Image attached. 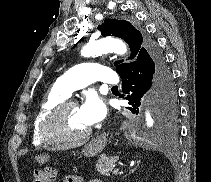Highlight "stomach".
I'll list each match as a JSON object with an SVG mask.
<instances>
[{
	"label": "stomach",
	"instance_id": "stomach-1",
	"mask_svg": "<svg viewBox=\"0 0 211 182\" xmlns=\"http://www.w3.org/2000/svg\"><path fill=\"white\" fill-rule=\"evenodd\" d=\"M107 143V139L105 136H99L97 138L92 139L85 147L83 151V155L85 157H93L100 153Z\"/></svg>",
	"mask_w": 211,
	"mask_h": 182
}]
</instances>
